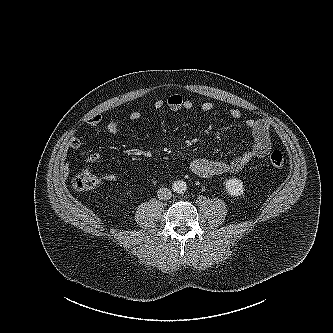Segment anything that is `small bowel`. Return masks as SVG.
Segmentation results:
<instances>
[{"label": "small bowel", "instance_id": "obj_1", "mask_svg": "<svg viewBox=\"0 0 333 333\" xmlns=\"http://www.w3.org/2000/svg\"><path fill=\"white\" fill-rule=\"evenodd\" d=\"M154 107L161 110L167 107L173 112H179L183 110H193L195 103L182 97L179 94L170 95L167 99H159L154 103ZM199 109L202 112L209 113L214 110V105L211 102H203ZM229 116L235 121H241L243 115L237 108H232L228 111ZM143 113L135 110L129 114V118L133 121L141 119ZM101 115H94L88 120L90 126H97L101 123ZM244 124L251 132L253 137L252 146L245 151H242L231 159L228 160H213L208 158H196L189 164V169L195 175L202 178H209L228 173H237L241 171L251 160L255 158H263L271 150V138H270V125L265 119L247 118L244 120ZM107 129L111 133H118L121 130L120 120H111L107 124ZM82 146V141L78 137H71L68 141V147L71 149H79ZM99 154L93 153L89 157V161L96 163L99 161ZM68 168H66L67 170ZM107 181L116 180V175L108 173L104 176Z\"/></svg>", "mask_w": 333, "mask_h": 333}]
</instances>
